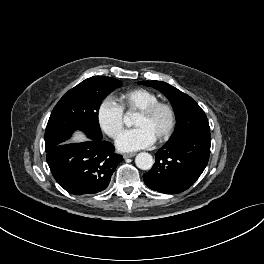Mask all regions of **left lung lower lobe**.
Returning <instances> with one entry per match:
<instances>
[{
    "label": "left lung lower lobe",
    "instance_id": "left-lung-lower-lobe-1",
    "mask_svg": "<svg viewBox=\"0 0 264 264\" xmlns=\"http://www.w3.org/2000/svg\"><path fill=\"white\" fill-rule=\"evenodd\" d=\"M210 133H198L180 141H167L156 154L150 171L143 174L152 190L177 194L192 186L204 171L210 155Z\"/></svg>",
    "mask_w": 264,
    "mask_h": 264
}]
</instances>
